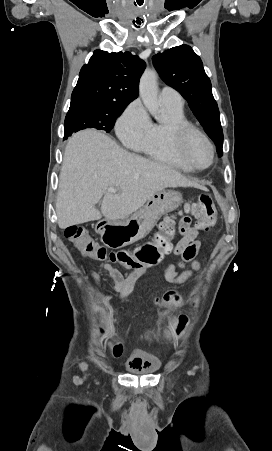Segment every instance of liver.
Segmentation results:
<instances>
[{"label": "liver", "mask_w": 272, "mask_h": 451, "mask_svg": "<svg viewBox=\"0 0 272 451\" xmlns=\"http://www.w3.org/2000/svg\"><path fill=\"white\" fill-rule=\"evenodd\" d=\"M118 188V194L108 188ZM193 186L179 172L130 154L98 130H82L69 138L56 200L58 226L65 229L91 220H122L137 212L155 192ZM103 198L101 212L96 210Z\"/></svg>", "instance_id": "liver-1"}]
</instances>
